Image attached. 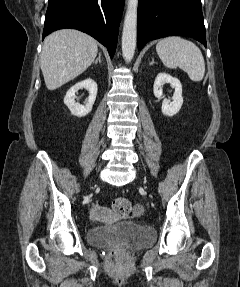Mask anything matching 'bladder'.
Returning a JSON list of instances; mask_svg holds the SVG:
<instances>
[{"label": "bladder", "instance_id": "31cf9c89", "mask_svg": "<svg viewBox=\"0 0 240 287\" xmlns=\"http://www.w3.org/2000/svg\"><path fill=\"white\" fill-rule=\"evenodd\" d=\"M154 240L155 233L152 228L130 220L94 226L88 232L89 243L97 246L117 241L134 250L150 245Z\"/></svg>", "mask_w": 240, "mask_h": 287}]
</instances>
